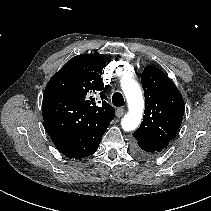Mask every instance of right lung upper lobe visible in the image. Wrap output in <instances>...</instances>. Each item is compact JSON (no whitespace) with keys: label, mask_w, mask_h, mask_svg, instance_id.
Wrapping results in <instances>:
<instances>
[{"label":"right lung upper lobe","mask_w":211,"mask_h":211,"mask_svg":"<svg viewBox=\"0 0 211 211\" xmlns=\"http://www.w3.org/2000/svg\"><path fill=\"white\" fill-rule=\"evenodd\" d=\"M105 65L106 60L102 56L77 55L50 79L45 92L73 98L79 104L83 120H94L109 126L114 118L115 109L103 100L101 105H96L93 98L94 94L104 88L101 74Z\"/></svg>","instance_id":"obj_1"}]
</instances>
